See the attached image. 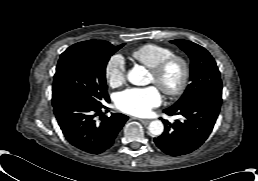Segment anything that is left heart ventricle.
<instances>
[{"instance_id": "1", "label": "left heart ventricle", "mask_w": 258, "mask_h": 181, "mask_svg": "<svg viewBox=\"0 0 258 181\" xmlns=\"http://www.w3.org/2000/svg\"><path fill=\"white\" fill-rule=\"evenodd\" d=\"M180 72L181 70L179 65L177 64L171 65L168 71L166 72L165 76L163 77L162 82L167 86L175 85L179 80ZM149 80L150 82H155V77L152 73H150Z\"/></svg>"}]
</instances>
